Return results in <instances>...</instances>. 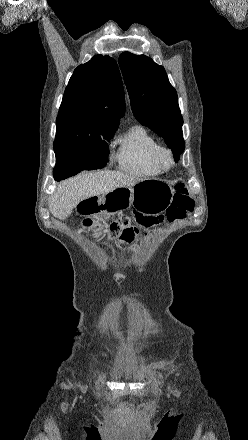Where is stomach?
<instances>
[{
  "label": "stomach",
  "mask_w": 248,
  "mask_h": 440,
  "mask_svg": "<svg viewBox=\"0 0 248 440\" xmlns=\"http://www.w3.org/2000/svg\"><path fill=\"white\" fill-rule=\"evenodd\" d=\"M173 189L163 181L156 179L142 180L131 187H120L109 193L91 197L89 204H78L79 219L77 225L81 230H86V218H109L110 214L129 208L139 198L141 209L154 214L162 212L172 201ZM137 204V203H136ZM138 206V204H137ZM96 232H103L105 225L90 221Z\"/></svg>",
  "instance_id": "obj_1"
}]
</instances>
